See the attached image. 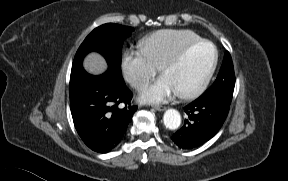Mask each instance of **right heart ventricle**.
I'll return each mask as SVG.
<instances>
[{"mask_svg": "<svg viewBox=\"0 0 288 181\" xmlns=\"http://www.w3.org/2000/svg\"><path fill=\"white\" fill-rule=\"evenodd\" d=\"M202 39L191 30H160L141 42V50L158 69L184 46Z\"/></svg>", "mask_w": 288, "mask_h": 181, "instance_id": "right-heart-ventricle-1", "label": "right heart ventricle"}]
</instances>
